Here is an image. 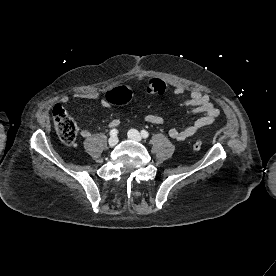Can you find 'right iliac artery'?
I'll return each mask as SVG.
<instances>
[{
	"label": "right iliac artery",
	"instance_id": "1",
	"mask_svg": "<svg viewBox=\"0 0 276 276\" xmlns=\"http://www.w3.org/2000/svg\"><path fill=\"white\" fill-rule=\"evenodd\" d=\"M117 134H118L117 129H112V130L110 131V135H111V136H116Z\"/></svg>",
	"mask_w": 276,
	"mask_h": 276
}]
</instances>
